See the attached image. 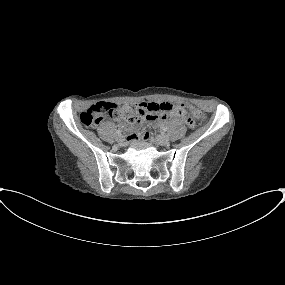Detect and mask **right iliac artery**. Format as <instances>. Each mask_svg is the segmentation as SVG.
Masks as SVG:
<instances>
[{
	"label": "right iliac artery",
	"mask_w": 285,
	"mask_h": 285,
	"mask_svg": "<svg viewBox=\"0 0 285 285\" xmlns=\"http://www.w3.org/2000/svg\"><path fill=\"white\" fill-rule=\"evenodd\" d=\"M116 133H117L118 135H121L122 130H119V129H118V130L116 131Z\"/></svg>",
	"instance_id": "1"
}]
</instances>
